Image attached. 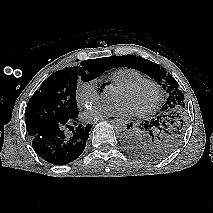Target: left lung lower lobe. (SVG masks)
Returning <instances> with one entry per match:
<instances>
[{"label": "left lung lower lobe", "mask_w": 213, "mask_h": 213, "mask_svg": "<svg viewBox=\"0 0 213 213\" xmlns=\"http://www.w3.org/2000/svg\"><path fill=\"white\" fill-rule=\"evenodd\" d=\"M149 121H146L144 124H142L139 128H132V124L127 126V130L123 131V143L126 146L128 150H130L132 153H136L138 151L139 145H140V135L144 130H147L149 127Z\"/></svg>", "instance_id": "0a47b994"}]
</instances>
